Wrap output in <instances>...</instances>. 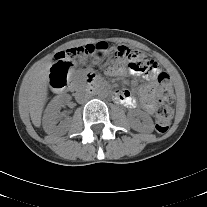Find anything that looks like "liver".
I'll return each instance as SVG.
<instances>
[{"label": "liver", "mask_w": 207, "mask_h": 207, "mask_svg": "<svg viewBox=\"0 0 207 207\" xmlns=\"http://www.w3.org/2000/svg\"><path fill=\"white\" fill-rule=\"evenodd\" d=\"M52 65L51 59L44 61L32 69L25 77L21 97L26 102L32 123L41 126L42 112L48 95L49 72Z\"/></svg>", "instance_id": "liver-1"}]
</instances>
